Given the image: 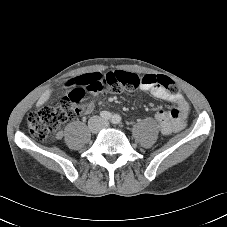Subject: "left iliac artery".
<instances>
[{
  "instance_id": "left-iliac-artery-1",
  "label": "left iliac artery",
  "mask_w": 227,
  "mask_h": 227,
  "mask_svg": "<svg viewBox=\"0 0 227 227\" xmlns=\"http://www.w3.org/2000/svg\"><path fill=\"white\" fill-rule=\"evenodd\" d=\"M113 124H118L121 121V117L118 114H114L111 119Z\"/></svg>"
}]
</instances>
